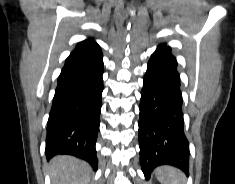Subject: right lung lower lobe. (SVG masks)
<instances>
[{
	"instance_id": "obj_1",
	"label": "right lung lower lobe",
	"mask_w": 235,
	"mask_h": 184,
	"mask_svg": "<svg viewBox=\"0 0 235 184\" xmlns=\"http://www.w3.org/2000/svg\"><path fill=\"white\" fill-rule=\"evenodd\" d=\"M103 72L102 52L71 53L66 59L47 123V158L73 155L97 169Z\"/></svg>"
}]
</instances>
